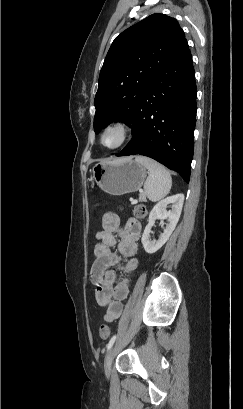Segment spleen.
<instances>
[{
  "label": "spleen",
  "mask_w": 243,
  "mask_h": 409,
  "mask_svg": "<svg viewBox=\"0 0 243 409\" xmlns=\"http://www.w3.org/2000/svg\"><path fill=\"white\" fill-rule=\"evenodd\" d=\"M135 161L148 170L144 184L145 194L152 202L164 198L171 189L172 178L169 171L158 162L143 156H136Z\"/></svg>",
  "instance_id": "spleen-1"
}]
</instances>
